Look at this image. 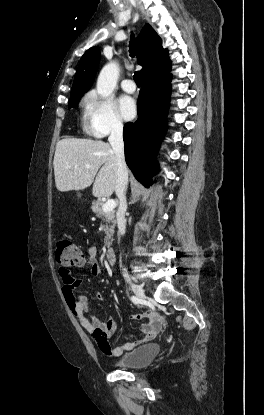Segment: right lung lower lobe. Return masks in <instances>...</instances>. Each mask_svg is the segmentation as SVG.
<instances>
[{
    "instance_id": "98d812e1",
    "label": "right lung lower lobe",
    "mask_w": 264,
    "mask_h": 415,
    "mask_svg": "<svg viewBox=\"0 0 264 415\" xmlns=\"http://www.w3.org/2000/svg\"><path fill=\"white\" fill-rule=\"evenodd\" d=\"M171 77L168 73L142 81L138 120L126 123L123 130L126 163L135 178L147 187L157 172L155 155L166 132Z\"/></svg>"
}]
</instances>
